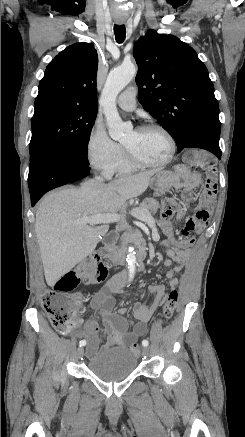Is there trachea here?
<instances>
[{
    "instance_id": "obj_1",
    "label": "trachea",
    "mask_w": 245,
    "mask_h": 437,
    "mask_svg": "<svg viewBox=\"0 0 245 437\" xmlns=\"http://www.w3.org/2000/svg\"><path fill=\"white\" fill-rule=\"evenodd\" d=\"M114 34L116 41L120 44L125 40L126 29L124 25H114Z\"/></svg>"
}]
</instances>
